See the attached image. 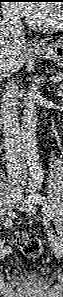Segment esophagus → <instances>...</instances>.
Listing matches in <instances>:
<instances>
[{"mask_svg": "<svg viewBox=\"0 0 63 297\" xmlns=\"http://www.w3.org/2000/svg\"><path fill=\"white\" fill-rule=\"evenodd\" d=\"M31 45L34 47V48H42L44 47V45L42 43H40V41L37 39V38H33L32 41H31Z\"/></svg>", "mask_w": 63, "mask_h": 297, "instance_id": "1", "label": "esophagus"}]
</instances>
